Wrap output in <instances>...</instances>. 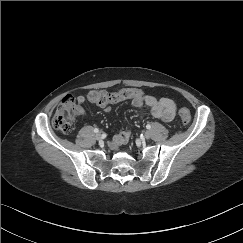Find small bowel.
Segmentation results:
<instances>
[{
    "label": "small bowel",
    "mask_w": 243,
    "mask_h": 243,
    "mask_svg": "<svg viewBox=\"0 0 243 243\" xmlns=\"http://www.w3.org/2000/svg\"><path fill=\"white\" fill-rule=\"evenodd\" d=\"M132 101L133 106L137 109L140 115L144 113V107H148L152 116L160 118L165 123H171L175 119L176 106L175 102L170 98H157L152 95L142 94L139 97L129 98ZM77 102L82 106L85 102L83 96L77 97ZM98 106L105 109L106 111H111L107 104H98ZM80 113H84L82 107L79 109ZM130 130L122 131L114 135L112 139V147L115 149L122 148L130 138Z\"/></svg>",
    "instance_id": "1"
}]
</instances>
